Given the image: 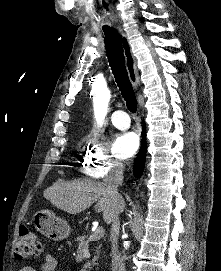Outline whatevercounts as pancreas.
I'll return each instance as SVG.
<instances>
[{"instance_id":"obj_1","label":"pancreas","mask_w":221,"mask_h":271,"mask_svg":"<svg viewBox=\"0 0 221 271\" xmlns=\"http://www.w3.org/2000/svg\"><path fill=\"white\" fill-rule=\"evenodd\" d=\"M90 239V237H84V235H79V237H77V242H88ZM98 249H100V247H98ZM97 259V255H95L94 259H91V261H89V263H85V265H94L95 261Z\"/></svg>"}]
</instances>
